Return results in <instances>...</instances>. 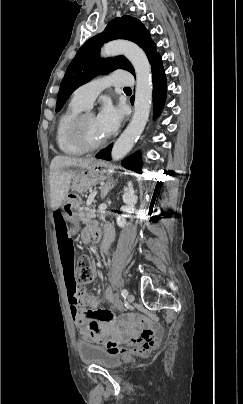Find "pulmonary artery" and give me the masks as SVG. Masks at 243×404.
Returning <instances> with one entry per match:
<instances>
[{"instance_id":"e3ab8cb5","label":"pulmonary artery","mask_w":243,"mask_h":404,"mask_svg":"<svg viewBox=\"0 0 243 404\" xmlns=\"http://www.w3.org/2000/svg\"><path fill=\"white\" fill-rule=\"evenodd\" d=\"M110 86L120 87L122 82L117 80L113 75H104L96 77L84 84L79 88L78 98L85 104L87 108H90L94 99L106 88Z\"/></svg>"}]
</instances>
